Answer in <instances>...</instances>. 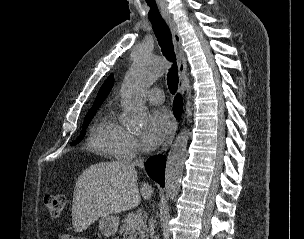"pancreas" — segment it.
Returning <instances> with one entry per match:
<instances>
[{
  "label": "pancreas",
  "instance_id": "pancreas-1",
  "mask_svg": "<svg viewBox=\"0 0 304 239\" xmlns=\"http://www.w3.org/2000/svg\"><path fill=\"white\" fill-rule=\"evenodd\" d=\"M147 231V226L138 213H128L122 220L120 232L123 233L124 239H148Z\"/></svg>",
  "mask_w": 304,
  "mask_h": 239
}]
</instances>
